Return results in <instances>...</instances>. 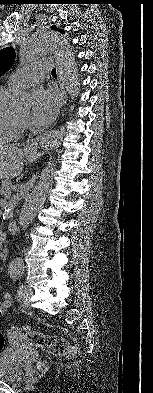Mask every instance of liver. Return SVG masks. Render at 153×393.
Instances as JSON below:
<instances>
[{
    "instance_id": "6515ba94",
    "label": "liver",
    "mask_w": 153,
    "mask_h": 393,
    "mask_svg": "<svg viewBox=\"0 0 153 393\" xmlns=\"http://www.w3.org/2000/svg\"><path fill=\"white\" fill-rule=\"evenodd\" d=\"M23 150L14 145L0 146V179H11L23 170Z\"/></svg>"
}]
</instances>
